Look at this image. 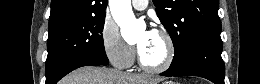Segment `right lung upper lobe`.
I'll return each mask as SVG.
<instances>
[{"label": "right lung upper lobe", "instance_id": "obj_1", "mask_svg": "<svg viewBox=\"0 0 260 84\" xmlns=\"http://www.w3.org/2000/svg\"><path fill=\"white\" fill-rule=\"evenodd\" d=\"M107 0H52L49 29L105 14Z\"/></svg>", "mask_w": 260, "mask_h": 84}]
</instances>
